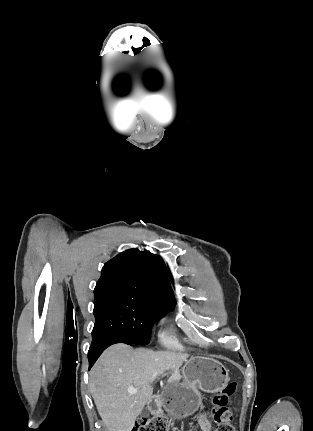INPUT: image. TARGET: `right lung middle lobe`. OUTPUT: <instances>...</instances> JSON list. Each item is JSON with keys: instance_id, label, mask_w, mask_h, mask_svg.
<instances>
[{"instance_id": "dd1d6c3e", "label": "right lung middle lobe", "mask_w": 313, "mask_h": 431, "mask_svg": "<svg viewBox=\"0 0 313 431\" xmlns=\"http://www.w3.org/2000/svg\"><path fill=\"white\" fill-rule=\"evenodd\" d=\"M174 305L163 307L135 296L109 292L95 296V325L92 342L115 337L137 345H147L151 327Z\"/></svg>"}]
</instances>
